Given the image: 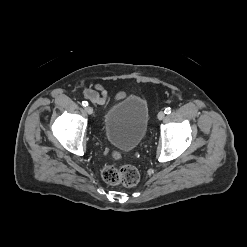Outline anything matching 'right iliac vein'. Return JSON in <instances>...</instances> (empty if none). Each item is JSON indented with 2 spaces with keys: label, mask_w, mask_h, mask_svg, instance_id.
Listing matches in <instances>:
<instances>
[{
  "label": "right iliac vein",
  "mask_w": 247,
  "mask_h": 247,
  "mask_svg": "<svg viewBox=\"0 0 247 247\" xmlns=\"http://www.w3.org/2000/svg\"><path fill=\"white\" fill-rule=\"evenodd\" d=\"M86 112L90 115L93 114V108L91 106H87Z\"/></svg>",
  "instance_id": "right-iliac-vein-1"
}]
</instances>
